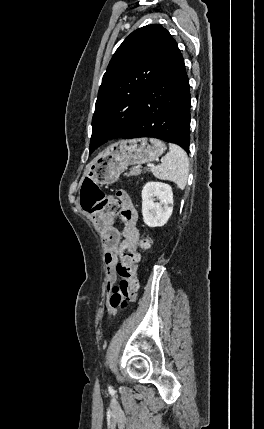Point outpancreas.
Instances as JSON below:
<instances>
[{"label": "pancreas", "instance_id": "obj_1", "mask_svg": "<svg viewBox=\"0 0 264 429\" xmlns=\"http://www.w3.org/2000/svg\"><path fill=\"white\" fill-rule=\"evenodd\" d=\"M141 174V168L140 166H134L130 169V172L128 173V176H137Z\"/></svg>", "mask_w": 264, "mask_h": 429}]
</instances>
